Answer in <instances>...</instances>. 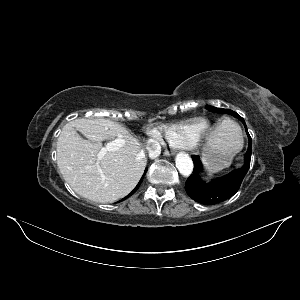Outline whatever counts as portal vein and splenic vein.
<instances>
[{"label": "portal vein and splenic vein", "instance_id": "18ae733b", "mask_svg": "<svg viewBox=\"0 0 300 300\" xmlns=\"http://www.w3.org/2000/svg\"><path fill=\"white\" fill-rule=\"evenodd\" d=\"M124 141L122 139H115L108 142L105 147L98 153V158L101 159L106 152L116 151L123 146Z\"/></svg>", "mask_w": 300, "mask_h": 300}]
</instances>
